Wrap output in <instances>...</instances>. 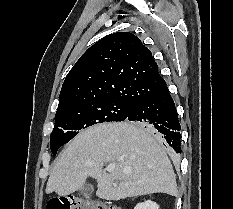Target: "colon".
I'll return each mask as SVG.
<instances>
[{
    "instance_id": "1",
    "label": "colon",
    "mask_w": 233,
    "mask_h": 209,
    "mask_svg": "<svg viewBox=\"0 0 233 209\" xmlns=\"http://www.w3.org/2000/svg\"><path fill=\"white\" fill-rule=\"evenodd\" d=\"M46 209H120L104 201L89 200L82 197L71 196L59 198L48 202Z\"/></svg>"
}]
</instances>
